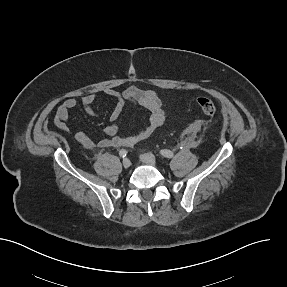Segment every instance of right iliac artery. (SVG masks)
<instances>
[{
  "label": "right iliac artery",
  "instance_id": "obj_1",
  "mask_svg": "<svg viewBox=\"0 0 287 287\" xmlns=\"http://www.w3.org/2000/svg\"><path fill=\"white\" fill-rule=\"evenodd\" d=\"M119 155L124 158V157H126V155H127V151H126L125 149H121V150L119 151Z\"/></svg>",
  "mask_w": 287,
  "mask_h": 287
}]
</instances>
